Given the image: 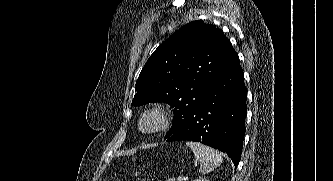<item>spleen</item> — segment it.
I'll return each mask as SVG.
<instances>
[{"label": "spleen", "instance_id": "obj_1", "mask_svg": "<svg viewBox=\"0 0 333 181\" xmlns=\"http://www.w3.org/2000/svg\"><path fill=\"white\" fill-rule=\"evenodd\" d=\"M195 155V159L200 164L199 172L208 173L222 163V155L216 150L197 142H186Z\"/></svg>", "mask_w": 333, "mask_h": 181}]
</instances>
